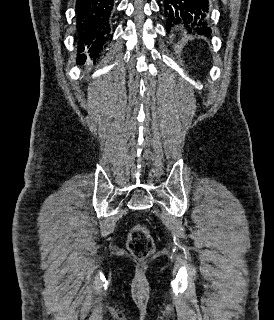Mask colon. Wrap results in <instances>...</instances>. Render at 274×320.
<instances>
[{
  "label": "colon",
  "instance_id": "colon-1",
  "mask_svg": "<svg viewBox=\"0 0 274 320\" xmlns=\"http://www.w3.org/2000/svg\"><path fill=\"white\" fill-rule=\"evenodd\" d=\"M129 251L138 259L148 257L154 250V241L145 225H135L129 234Z\"/></svg>",
  "mask_w": 274,
  "mask_h": 320
}]
</instances>
